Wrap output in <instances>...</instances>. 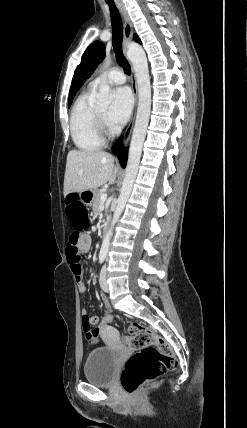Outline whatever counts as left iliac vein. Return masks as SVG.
<instances>
[{
  "label": "left iliac vein",
  "instance_id": "obj_1",
  "mask_svg": "<svg viewBox=\"0 0 247 428\" xmlns=\"http://www.w3.org/2000/svg\"><path fill=\"white\" fill-rule=\"evenodd\" d=\"M100 286L103 291L108 292L109 291V285L107 283V277H106V266H104L100 272V278H99Z\"/></svg>",
  "mask_w": 247,
  "mask_h": 428
}]
</instances>
